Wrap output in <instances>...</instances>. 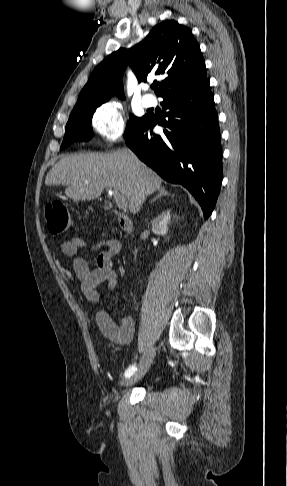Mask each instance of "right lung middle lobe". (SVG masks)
Here are the masks:
<instances>
[{
  "label": "right lung middle lobe",
  "instance_id": "obj_1",
  "mask_svg": "<svg viewBox=\"0 0 287 486\" xmlns=\"http://www.w3.org/2000/svg\"><path fill=\"white\" fill-rule=\"evenodd\" d=\"M100 105L101 104H97L81 112L72 113L70 115L66 125L61 149L66 148L77 140L84 141L89 139L91 119L96 108ZM143 119L144 117L139 118L131 115L124 133V137L126 138L135 128H137Z\"/></svg>",
  "mask_w": 287,
  "mask_h": 486
}]
</instances>
